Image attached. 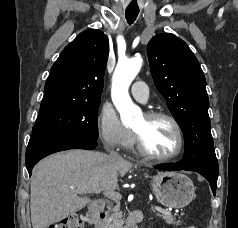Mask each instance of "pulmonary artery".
Here are the masks:
<instances>
[{
	"label": "pulmonary artery",
	"mask_w": 238,
	"mask_h": 228,
	"mask_svg": "<svg viewBox=\"0 0 238 228\" xmlns=\"http://www.w3.org/2000/svg\"><path fill=\"white\" fill-rule=\"evenodd\" d=\"M131 94L136 100L146 102L149 97L147 85L143 81L134 82L131 86Z\"/></svg>",
	"instance_id": "1"
}]
</instances>
